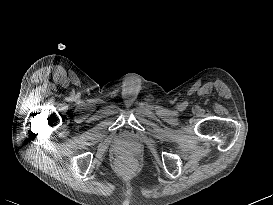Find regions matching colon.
Here are the masks:
<instances>
[{
    "instance_id": "obj_1",
    "label": "colon",
    "mask_w": 273,
    "mask_h": 205,
    "mask_svg": "<svg viewBox=\"0 0 273 205\" xmlns=\"http://www.w3.org/2000/svg\"><path fill=\"white\" fill-rule=\"evenodd\" d=\"M119 165L123 170H127V162L125 160L121 161Z\"/></svg>"
}]
</instances>
